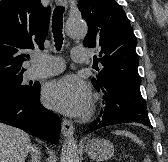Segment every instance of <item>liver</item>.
Masks as SVG:
<instances>
[{
    "instance_id": "obj_1",
    "label": "liver",
    "mask_w": 168,
    "mask_h": 162,
    "mask_svg": "<svg viewBox=\"0 0 168 162\" xmlns=\"http://www.w3.org/2000/svg\"><path fill=\"white\" fill-rule=\"evenodd\" d=\"M31 148V140L27 133L0 123V162H25Z\"/></svg>"
}]
</instances>
